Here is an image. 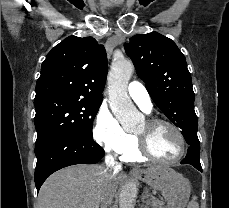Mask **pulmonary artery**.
Listing matches in <instances>:
<instances>
[{"label": "pulmonary artery", "mask_w": 229, "mask_h": 208, "mask_svg": "<svg viewBox=\"0 0 229 208\" xmlns=\"http://www.w3.org/2000/svg\"><path fill=\"white\" fill-rule=\"evenodd\" d=\"M127 92L145 113H150L152 111L153 104L151 102V98L148 91L140 81H132L127 88Z\"/></svg>", "instance_id": "obj_1"}]
</instances>
